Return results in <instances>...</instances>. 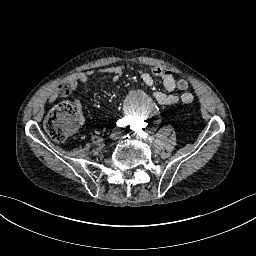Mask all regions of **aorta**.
<instances>
[{
  "instance_id": "1",
  "label": "aorta",
  "mask_w": 256,
  "mask_h": 256,
  "mask_svg": "<svg viewBox=\"0 0 256 256\" xmlns=\"http://www.w3.org/2000/svg\"><path fill=\"white\" fill-rule=\"evenodd\" d=\"M124 109L131 117L148 122L157 116L159 106L146 90L133 89L124 98Z\"/></svg>"
}]
</instances>
